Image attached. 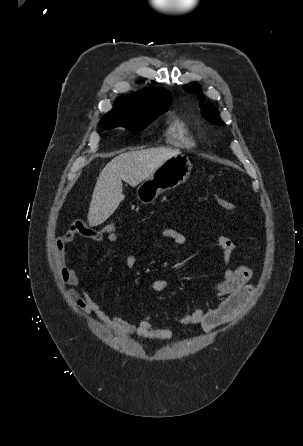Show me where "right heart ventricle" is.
Returning <instances> with one entry per match:
<instances>
[{
	"mask_svg": "<svg viewBox=\"0 0 303 446\" xmlns=\"http://www.w3.org/2000/svg\"><path fill=\"white\" fill-rule=\"evenodd\" d=\"M166 141L172 146L179 148H192L195 146V139L188 125L179 119L169 122L166 129Z\"/></svg>",
	"mask_w": 303,
	"mask_h": 446,
	"instance_id": "obj_1",
	"label": "right heart ventricle"
}]
</instances>
